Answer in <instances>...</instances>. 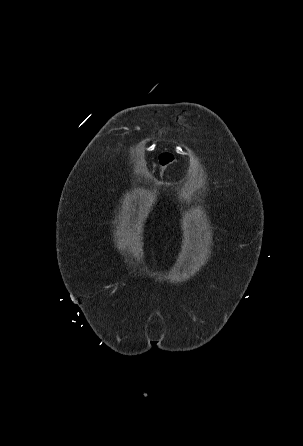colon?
Returning <instances> with one entry per match:
<instances>
[{
  "instance_id": "obj_1",
  "label": "colon",
  "mask_w": 303,
  "mask_h": 446,
  "mask_svg": "<svg viewBox=\"0 0 303 446\" xmlns=\"http://www.w3.org/2000/svg\"><path fill=\"white\" fill-rule=\"evenodd\" d=\"M176 159L174 155L170 152H163L159 156V175L163 177L167 172L168 167L175 163Z\"/></svg>"
}]
</instances>
